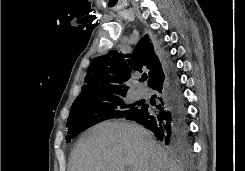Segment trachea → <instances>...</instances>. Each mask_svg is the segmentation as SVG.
I'll use <instances>...</instances> for the list:
<instances>
[{"mask_svg":"<svg viewBox=\"0 0 245 171\" xmlns=\"http://www.w3.org/2000/svg\"><path fill=\"white\" fill-rule=\"evenodd\" d=\"M147 75L146 74H144L143 76H142V78H141V81H145V80H147Z\"/></svg>","mask_w":245,"mask_h":171,"instance_id":"1","label":"trachea"}]
</instances>
